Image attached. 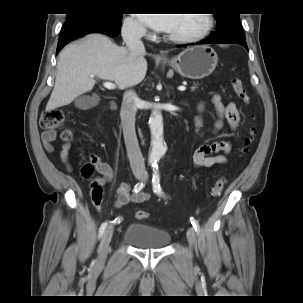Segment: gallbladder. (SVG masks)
<instances>
[{"label": "gallbladder", "instance_id": "bac80fb5", "mask_svg": "<svg viewBox=\"0 0 303 303\" xmlns=\"http://www.w3.org/2000/svg\"><path fill=\"white\" fill-rule=\"evenodd\" d=\"M75 106L78 109L85 110L92 106V97L89 95H81L75 99Z\"/></svg>", "mask_w": 303, "mask_h": 303}]
</instances>
